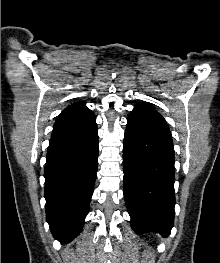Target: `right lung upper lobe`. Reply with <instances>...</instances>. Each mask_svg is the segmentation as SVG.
<instances>
[{
    "mask_svg": "<svg viewBox=\"0 0 220 263\" xmlns=\"http://www.w3.org/2000/svg\"><path fill=\"white\" fill-rule=\"evenodd\" d=\"M95 120L94 113L84 102L74 103L58 116L52 134L67 137L85 135L97 126Z\"/></svg>",
    "mask_w": 220,
    "mask_h": 263,
    "instance_id": "obj_1",
    "label": "right lung upper lobe"
}]
</instances>
